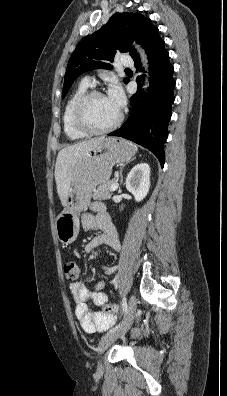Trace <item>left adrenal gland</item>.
Segmentation results:
<instances>
[{"label": "left adrenal gland", "instance_id": "left-adrenal-gland-1", "mask_svg": "<svg viewBox=\"0 0 227 396\" xmlns=\"http://www.w3.org/2000/svg\"><path fill=\"white\" fill-rule=\"evenodd\" d=\"M132 160H134V159H132ZM124 166H125V165H124ZM124 166H123V167H124ZM123 167L120 168V179H121V180H120V185H122V183H123V175H122Z\"/></svg>", "mask_w": 227, "mask_h": 396}]
</instances>
